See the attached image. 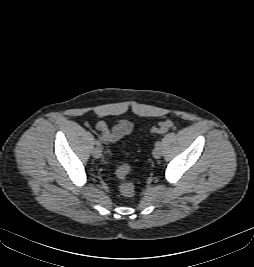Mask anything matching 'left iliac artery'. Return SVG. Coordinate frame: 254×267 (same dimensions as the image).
Returning a JSON list of instances; mask_svg holds the SVG:
<instances>
[{
    "instance_id": "1",
    "label": "left iliac artery",
    "mask_w": 254,
    "mask_h": 267,
    "mask_svg": "<svg viewBox=\"0 0 254 267\" xmlns=\"http://www.w3.org/2000/svg\"><path fill=\"white\" fill-rule=\"evenodd\" d=\"M161 145V142L160 141H157L156 143H155V146H160Z\"/></svg>"
}]
</instances>
